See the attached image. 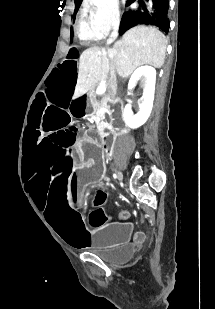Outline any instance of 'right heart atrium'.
<instances>
[{"mask_svg":"<svg viewBox=\"0 0 215 309\" xmlns=\"http://www.w3.org/2000/svg\"><path fill=\"white\" fill-rule=\"evenodd\" d=\"M117 0H92L93 7H100L92 14L91 24L97 29V38L115 33L120 25Z\"/></svg>","mask_w":215,"mask_h":309,"instance_id":"1","label":"right heart atrium"}]
</instances>
